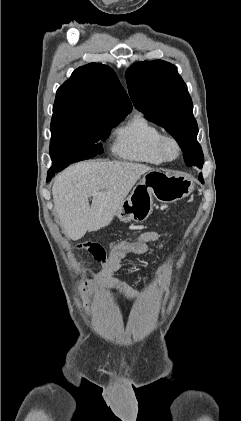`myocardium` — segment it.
Wrapping results in <instances>:
<instances>
[{
  "label": "myocardium",
  "instance_id": "obj_1",
  "mask_svg": "<svg viewBox=\"0 0 241 421\" xmlns=\"http://www.w3.org/2000/svg\"><path fill=\"white\" fill-rule=\"evenodd\" d=\"M171 145L173 152L169 153L167 147ZM158 151L165 161H172L176 159L181 153V146L179 141L170 134H162L158 141Z\"/></svg>",
  "mask_w": 241,
  "mask_h": 421
}]
</instances>
